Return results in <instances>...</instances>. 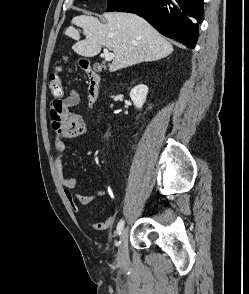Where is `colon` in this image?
I'll return each instance as SVG.
<instances>
[{"label":"colon","mask_w":249,"mask_h":294,"mask_svg":"<svg viewBox=\"0 0 249 294\" xmlns=\"http://www.w3.org/2000/svg\"><path fill=\"white\" fill-rule=\"evenodd\" d=\"M66 61L67 58L65 57ZM62 67H57V69L50 76V92L53 97V101L61 100L64 93L63 82H62Z\"/></svg>","instance_id":"1"}]
</instances>
